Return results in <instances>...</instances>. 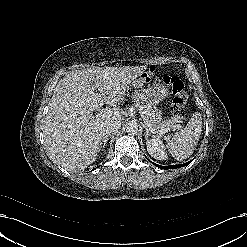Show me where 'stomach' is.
Instances as JSON below:
<instances>
[{"label":"stomach","instance_id":"obj_1","mask_svg":"<svg viewBox=\"0 0 247 247\" xmlns=\"http://www.w3.org/2000/svg\"><path fill=\"white\" fill-rule=\"evenodd\" d=\"M140 74L139 79L133 80L129 87L131 88H140L143 84V78ZM169 95V90L166 86L161 83H154L152 86L147 89H143L141 91H137L135 93L134 98H139L145 102H149L151 104H158L162 100H164Z\"/></svg>","mask_w":247,"mask_h":247}]
</instances>
